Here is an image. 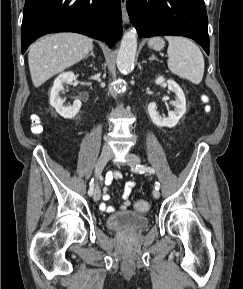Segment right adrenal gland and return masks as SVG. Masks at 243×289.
I'll list each match as a JSON object with an SVG mask.
<instances>
[{
	"label": "right adrenal gland",
	"mask_w": 243,
	"mask_h": 289,
	"mask_svg": "<svg viewBox=\"0 0 243 289\" xmlns=\"http://www.w3.org/2000/svg\"><path fill=\"white\" fill-rule=\"evenodd\" d=\"M89 56H92L93 58H95V54L93 52V48L90 50V53L85 57V59L88 58Z\"/></svg>",
	"instance_id": "2a0ac1e0"
}]
</instances>
